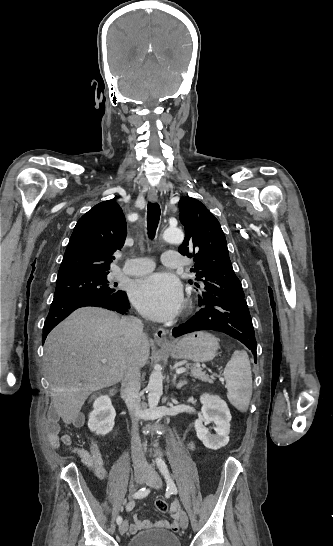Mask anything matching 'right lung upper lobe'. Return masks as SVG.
Listing matches in <instances>:
<instances>
[{"label":"right lung upper lobe","instance_id":"cb5924a9","mask_svg":"<svg viewBox=\"0 0 333 546\" xmlns=\"http://www.w3.org/2000/svg\"><path fill=\"white\" fill-rule=\"evenodd\" d=\"M125 237L126 222L116 201L112 199L95 205L78 220L58 278L108 272L112 259H115L112 254L122 248Z\"/></svg>","mask_w":333,"mask_h":546}]
</instances>
